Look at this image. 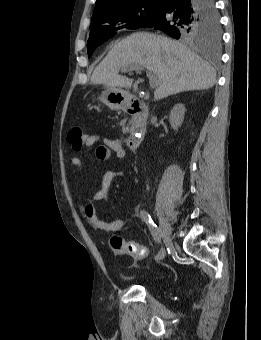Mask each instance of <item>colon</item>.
<instances>
[{
  "label": "colon",
  "mask_w": 261,
  "mask_h": 340,
  "mask_svg": "<svg viewBox=\"0 0 261 340\" xmlns=\"http://www.w3.org/2000/svg\"><path fill=\"white\" fill-rule=\"evenodd\" d=\"M86 133L80 126L73 127L68 134V142L74 150H79L84 144ZM110 248L119 255H127L137 260H144L148 256L146 247L134 242L126 241L120 236H113L110 239Z\"/></svg>",
  "instance_id": "colon-1"
}]
</instances>
